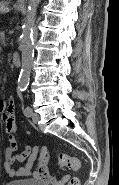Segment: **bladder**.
Returning a JSON list of instances; mask_svg holds the SVG:
<instances>
[{"label":"bladder","instance_id":"31cf9c89","mask_svg":"<svg viewBox=\"0 0 119 185\" xmlns=\"http://www.w3.org/2000/svg\"><path fill=\"white\" fill-rule=\"evenodd\" d=\"M5 185H44V184L34 179H20L7 182Z\"/></svg>","mask_w":119,"mask_h":185}]
</instances>
